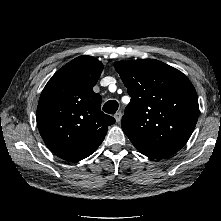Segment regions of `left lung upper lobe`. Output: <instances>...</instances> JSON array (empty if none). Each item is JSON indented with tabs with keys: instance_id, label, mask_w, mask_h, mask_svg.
<instances>
[{
	"instance_id": "1",
	"label": "left lung upper lobe",
	"mask_w": 221,
	"mask_h": 221,
	"mask_svg": "<svg viewBox=\"0 0 221 221\" xmlns=\"http://www.w3.org/2000/svg\"><path fill=\"white\" fill-rule=\"evenodd\" d=\"M114 67L131 97L122 117L124 133L147 157L175 154L198 119V97L190 80L155 59L118 61Z\"/></svg>"
}]
</instances>
